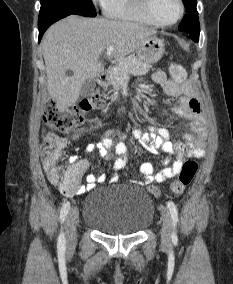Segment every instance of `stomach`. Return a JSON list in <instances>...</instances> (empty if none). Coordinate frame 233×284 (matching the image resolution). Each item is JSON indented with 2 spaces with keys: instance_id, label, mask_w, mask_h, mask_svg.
<instances>
[{
  "instance_id": "stomach-1",
  "label": "stomach",
  "mask_w": 233,
  "mask_h": 284,
  "mask_svg": "<svg viewBox=\"0 0 233 284\" xmlns=\"http://www.w3.org/2000/svg\"><path fill=\"white\" fill-rule=\"evenodd\" d=\"M165 51V44L163 40L151 36L143 43V45L136 51L137 57L146 64H154L158 62Z\"/></svg>"
}]
</instances>
